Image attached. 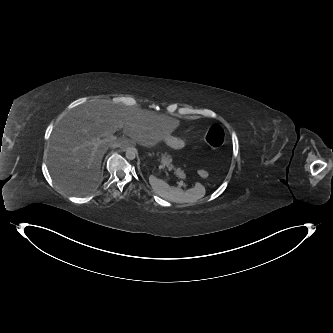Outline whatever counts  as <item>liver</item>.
<instances>
[{
    "label": "liver",
    "mask_w": 333,
    "mask_h": 333,
    "mask_svg": "<svg viewBox=\"0 0 333 333\" xmlns=\"http://www.w3.org/2000/svg\"><path fill=\"white\" fill-rule=\"evenodd\" d=\"M179 124L175 118L128 102L92 99L71 110L54 129L48 146L52 178L68 193L84 195L98 187L102 158L111 144L118 143L123 148L134 142L153 147L169 137ZM122 128V137L104 140ZM98 140L102 142L97 143Z\"/></svg>",
    "instance_id": "obj_1"
}]
</instances>
